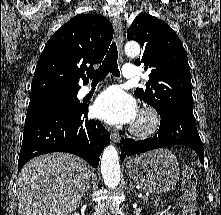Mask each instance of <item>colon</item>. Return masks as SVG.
Here are the masks:
<instances>
[{
	"mask_svg": "<svg viewBox=\"0 0 221 215\" xmlns=\"http://www.w3.org/2000/svg\"><path fill=\"white\" fill-rule=\"evenodd\" d=\"M182 188L183 194L180 198L182 215H199V211L195 205L196 177L189 168L184 170Z\"/></svg>",
	"mask_w": 221,
	"mask_h": 215,
	"instance_id": "5ec220e1",
	"label": "colon"
}]
</instances>
